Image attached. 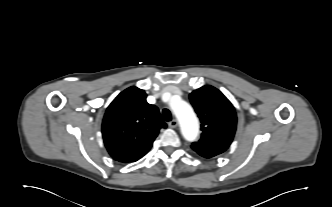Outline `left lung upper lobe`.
<instances>
[{
    "label": "left lung upper lobe",
    "instance_id": "5c2ea615",
    "mask_svg": "<svg viewBox=\"0 0 332 207\" xmlns=\"http://www.w3.org/2000/svg\"><path fill=\"white\" fill-rule=\"evenodd\" d=\"M190 101L201 121V138L191 148L202 157L223 153L231 144L237 124L230 101L215 87L205 85L190 94Z\"/></svg>",
    "mask_w": 332,
    "mask_h": 207
}]
</instances>
